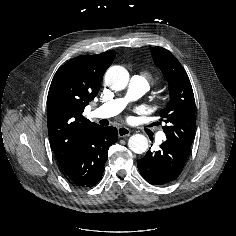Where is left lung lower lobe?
<instances>
[{
	"mask_svg": "<svg viewBox=\"0 0 236 236\" xmlns=\"http://www.w3.org/2000/svg\"><path fill=\"white\" fill-rule=\"evenodd\" d=\"M188 153L164 142L160 150L138 160L137 166L143 178L152 185H163L178 178L186 163Z\"/></svg>",
	"mask_w": 236,
	"mask_h": 236,
	"instance_id": "0a47b994",
	"label": "left lung lower lobe"
}]
</instances>
